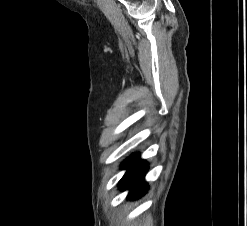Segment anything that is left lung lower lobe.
I'll list each match as a JSON object with an SVG mask.
<instances>
[{"label": "left lung lower lobe", "mask_w": 247, "mask_h": 226, "mask_svg": "<svg viewBox=\"0 0 247 226\" xmlns=\"http://www.w3.org/2000/svg\"><path fill=\"white\" fill-rule=\"evenodd\" d=\"M127 172L119 182L122 190L130 189L129 198L137 199L146 193L148 186L144 181L148 166L145 161H141L137 154H133L123 163Z\"/></svg>", "instance_id": "1"}]
</instances>
